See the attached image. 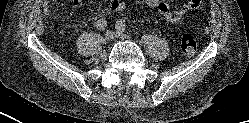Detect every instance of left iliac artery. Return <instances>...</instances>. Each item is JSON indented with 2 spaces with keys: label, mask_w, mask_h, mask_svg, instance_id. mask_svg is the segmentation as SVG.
<instances>
[{
  "label": "left iliac artery",
  "mask_w": 249,
  "mask_h": 123,
  "mask_svg": "<svg viewBox=\"0 0 249 123\" xmlns=\"http://www.w3.org/2000/svg\"><path fill=\"white\" fill-rule=\"evenodd\" d=\"M116 29L117 30H120V31H125L126 29V23L124 20L122 19H119L117 22H116Z\"/></svg>",
  "instance_id": "1"
}]
</instances>
